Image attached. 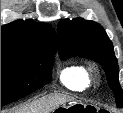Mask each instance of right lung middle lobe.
I'll use <instances>...</instances> for the list:
<instances>
[{
	"mask_svg": "<svg viewBox=\"0 0 123 113\" xmlns=\"http://www.w3.org/2000/svg\"><path fill=\"white\" fill-rule=\"evenodd\" d=\"M54 53L44 44L1 45V106L49 83Z\"/></svg>",
	"mask_w": 123,
	"mask_h": 113,
	"instance_id": "right-lung-middle-lobe-1",
	"label": "right lung middle lobe"
}]
</instances>
